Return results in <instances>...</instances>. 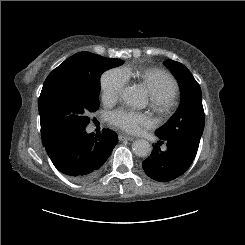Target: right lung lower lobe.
I'll list each match as a JSON object with an SVG mask.
<instances>
[{"mask_svg":"<svg viewBox=\"0 0 245 245\" xmlns=\"http://www.w3.org/2000/svg\"><path fill=\"white\" fill-rule=\"evenodd\" d=\"M118 142L115 132L87 134L85 128L72 130L44 144L54 166L76 181L94 178Z\"/></svg>","mask_w":245,"mask_h":245,"instance_id":"right-lung-lower-lobe-1","label":"right lung lower lobe"}]
</instances>
